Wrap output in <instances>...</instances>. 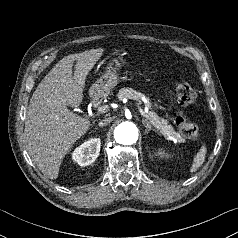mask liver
Segmentation results:
<instances>
[{"label": "liver", "mask_w": 238, "mask_h": 238, "mask_svg": "<svg viewBox=\"0 0 238 238\" xmlns=\"http://www.w3.org/2000/svg\"><path fill=\"white\" fill-rule=\"evenodd\" d=\"M103 51L91 49L65 56L30 99L24 130L26 148L41 172L52 180L58 178L62 160L72 145L89 129L90 122L67 106L76 107L83 102L85 80Z\"/></svg>", "instance_id": "1"}]
</instances>
